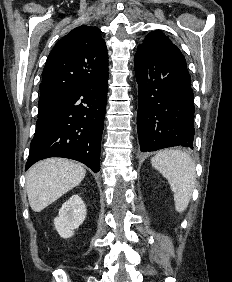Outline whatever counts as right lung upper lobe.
I'll return each instance as SVG.
<instances>
[{"label":"right lung upper lobe","mask_w":232,"mask_h":282,"mask_svg":"<svg viewBox=\"0 0 232 282\" xmlns=\"http://www.w3.org/2000/svg\"><path fill=\"white\" fill-rule=\"evenodd\" d=\"M101 31L82 25L59 40L50 52L43 69L41 95L60 98L72 87L108 72V53Z\"/></svg>","instance_id":"right-lung-upper-lobe-1"}]
</instances>
